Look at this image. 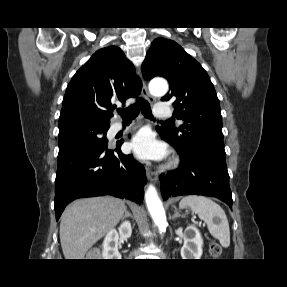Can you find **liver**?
Wrapping results in <instances>:
<instances>
[{"label":"liver","instance_id":"1","mask_svg":"<svg viewBox=\"0 0 287 287\" xmlns=\"http://www.w3.org/2000/svg\"><path fill=\"white\" fill-rule=\"evenodd\" d=\"M125 202L105 196L79 199L67 206L60 223L65 259H83L87 251L123 218Z\"/></svg>","mask_w":287,"mask_h":287}]
</instances>
